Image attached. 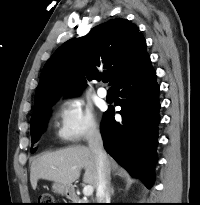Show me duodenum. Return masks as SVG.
Listing matches in <instances>:
<instances>
[{
    "label": "duodenum",
    "instance_id": "1",
    "mask_svg": "<svg viewBox=\"0 0 200 205\" xmlns=\"http://www.w3.org/2000/svg\"><path fill=\"white\" fill-rule=\"evenodd\" d=\"M68 195H69L70 197H74V196H75V191H74L73 189H69Z\"/></svg>",
    "mask_w": 200,
    "mask_h": 205
}]
</instances>
